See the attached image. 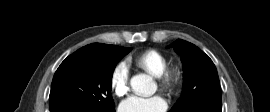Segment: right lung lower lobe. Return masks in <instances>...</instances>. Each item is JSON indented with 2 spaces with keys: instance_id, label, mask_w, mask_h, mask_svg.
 I'll return each mask as SVG.
<instances>
[{
  "instance_id": "98d812e1",
  "label": "right lung lower lobe",
  "mask_w": 270,
  "mask_h": 112,
  "mask_svg": "<svg viewBox=\"0 0 270 112\" xmlns=\"http://www.w3.org/2000/svg\"><path fill=\"white\" fill-rule=\"evenodd\" d=\"M50 112H115V110L111 111H102L95 107H58L50 109Z\"/></svg>"
}]
</instances>
